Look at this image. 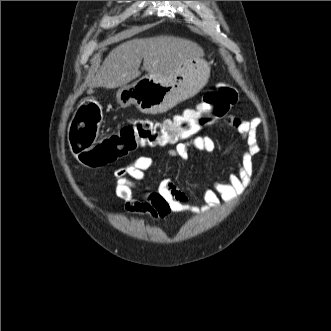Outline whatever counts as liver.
Wrapping results in <instances>:
<instances>
[{
    "instance_id": "liver-1",
    "label": "liver",
    "mask_w": 331,
    "mask_h": 331,
    "mask_svg": "<svg viewBox=\"0 0 331 331\" xmlns=\"http://www.w3.org/2000/svg\"><path fill=\"white\" fill-rule=\"evenodd\" d=\"M203 49L195 42L174 37L156 36L126 41L114 48L91 79V87L118 88L141 75L164 77L179 70L188 60L201 57Z\"/></svg>"
}]
</instances>
